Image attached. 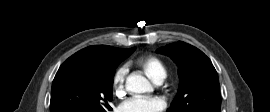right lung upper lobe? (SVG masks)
<instances>
[{
  "instance_id": "right-lung-upper-lobe-1",
  "label": "right lung upper lobe",
  "mask_w": 270,
  "mask_h": 112,
  "mask_svg": "<svg viewBox=\"0 0 270 112\" xmlns=\"http://www.w3.org/2000/svg\"><path fill=\"white\" fill-rule=\"evenodd\" d=\"M124 50L125 49L114 48L107 45L89 46L78 51L68 59L87 62H109L112 58L118 56Z\"/></svg>"
}]
</instances>
